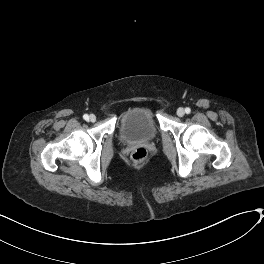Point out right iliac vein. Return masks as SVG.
<instances>
[{"label": "right iliac vein", "mask_w": 264, "mask_h": 264, "mask_svg": "<svg viewBox=\"0 0 264 264\" xmlns=\"http://www.w3.org/2000/svg\"><path fill=\"white\" fill-rule=\"evenodd\" d=\"M89 120H90L91 122H95V121H96V116L93 115V114H91L90 117H89Z\"/></svg>", "instance_id": "1"}]
</instances>
